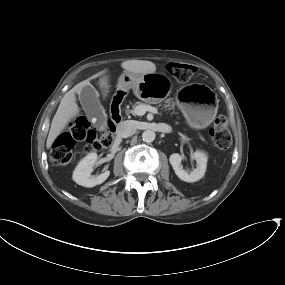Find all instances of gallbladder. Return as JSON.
<instances>
[{"mask_svg": "<svg viewBox=\"0 0 285 285\" xmlns=\"http://www.w3.org/2000/svg\"><path fill=\"white\" fill-rule=\"evenodd\" d=\"M79 100L86 116L92 120L96 119V124H102L107 121V115L99 100L97 90L91 84L82 87L79 94Z\"/></svg>", "mask_w": 285, "mask_h": 285, "instance_id": "1", "label": "gallbladder"}]
</instances>
